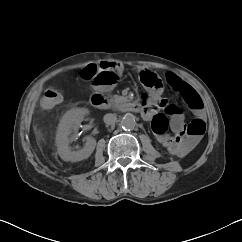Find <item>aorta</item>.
<instances>
[{
	"mask_svg": "<svg viewBox=\"0 0 242 242\" xmlns=\"http://www.w3.org/2000/svg\"><path fill=\"white\" fill-rule=\"evenodd\" d=\"M120 124L124 130H133L136 126L134 115L132 113H126Z\"/></svg>",
	"mask_w": 242,
	"mask_h": 242,
	"instance_id": "1",
	"label": "aorta"
}]
</instances>
